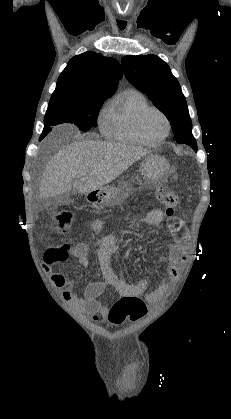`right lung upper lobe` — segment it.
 Returning <instances> with one entry per match:
<instances>
[{"instance_id":"obj_1","label":"right lung upper lobe","mask_w":231,"mask_h":419,"mask_svg":"<svg viewBox=\"0 0 231 419\" xmlns=\"http://www.w3.org/2000/svg\"><path fill=\"white\" fill-rule=\"evenodd\" d=\"M122 76L117 60L87 51L69 60L54 92L77 98H108L115 92Z\"/></svg>"}]
</instances>
